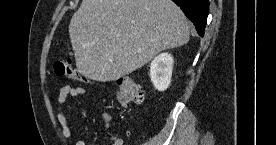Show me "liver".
<instances>
[{
	"label": "liver",
	"instance_id": "6515ba94",
	"mask_svg": "<svg viewBox=\"0 0 276 145\" xmlns=\"http://www.w3.org/2000/svg\"><path fill=\"white\" fill-rule=\"evenodd\" d=\"M84 77L115 81L166 49L189 41L188 21L172 0H83L69 24Z\"/></svg>",
	"mask_w": 276,
	"mask_h": 145
}]
</instances>
